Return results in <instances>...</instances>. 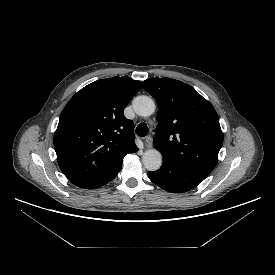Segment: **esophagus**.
Listing matches in <instances>:
<instances>
[{
  "label": "esophagus",
  "mask_w": 275,
  "mask_h": 275,
  "mask_svg": "<svg viewBox=\"0 0 275 275\" xmlns=\"http://www.w3.org/2000/svg\"><path fill=\"white\" fill-rule=\"evenodd\" d=\"M145 146L147 148H151L152 147V137L151 136H147L144 140Z\"/></svg>",
  "instance_id": "34e87169"
}]
</instances>
